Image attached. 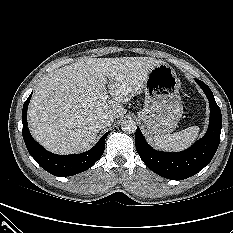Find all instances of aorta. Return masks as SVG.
Wrapping results in <instances>:
<instances>
[{"mask_svg": "<svg viewBox=\"0 0 233 233\" xmlns=\"http://www.w3.org/2000/svg\"><path fill=\"white\" fill-rule=\"evenodd\" d=\"M121 129L125 133H134L137 129V125L133 120H125L121 124Z\"/></svg>", "mask_w": 233, "mask_h": 233, "instance_id": "aorta-1", "label": "aorta"}]
</instances>
